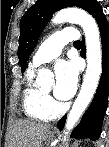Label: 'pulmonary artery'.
<instances>
[{
    "label": "pulmonary artery",
    "instance_id": "pulmonary-artery-1",
    "mask_svg": "<svg viewBox=\"0 0 109 147\" xmlns=\"http://www.w3.org/2000/svg\"><path fill=\"white\" fill-rule=\"evenodd\" d=\"M80 35L73 31H60L49 36L43 44L35 52L31 66L39 67L49 61L57 58L65 44L69 42H77Z\"/></svg>",
    "mask_w": 109,
    "mask_h": 147
}]
</instances>
